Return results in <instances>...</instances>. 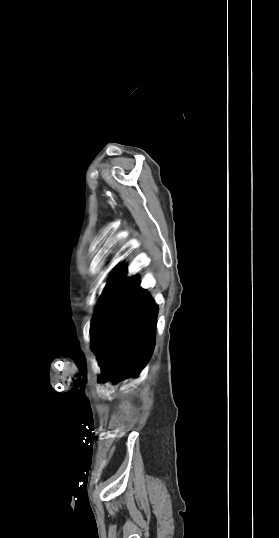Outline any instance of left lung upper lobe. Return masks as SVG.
I'll return each instance as SVG.
<instances>
[{"label":"left lung upper lobe","instance_id":"1","mask_svg":"<svg viewBox=\"0 0 279 538\" xmlns=\"http://www.w3.org/2000/svg\"><path fill=\"white\" fill-rule=\"evenodd\" d=\"M121 267H123V266H118V267H116V268L114 269V271H113V274H115Z\"/></svg>","mask_w":279,"mask_h":538}]
</instances>
